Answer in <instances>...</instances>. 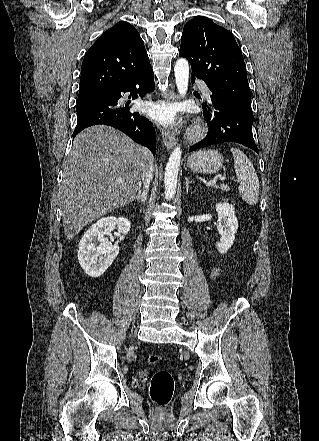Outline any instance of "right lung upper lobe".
<instances>
[{
  "label": "right lung upper lobe",
  "instance_id": "1",
  "mask_svg": "<svg viewBox=\"0 0 319 441\" xmlns=\"http://www.w3.org/2000/svg\"><path fill=\"white\" fill-rule=\"evenodd\" d=\"M137 30L119 22L105 31L85 54L77 103L103 97L151 70Z\"/></svg>",
  "mask_w": 319,
  "mask_h": 441
}]
</instances>
